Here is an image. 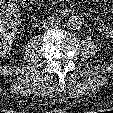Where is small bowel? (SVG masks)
Listing matches in <instances>:
<instances>
[{"instance_id":"1","label":"small bowel","mask_w":113,"mask_h":113,"mask_svg":"<svg viewBox=\"0 0 113 113\" xmlns=\"http://www.w3.org/2000/svg\"><path fill=\"white\" fill-rule=\"evenodd\" d=\"M17 19H19L20 14L16 15ZM93 23L97 30L102 33L103 35L107 37L113 38V25L106 24L102 19L100 18H94Z\"/></svg>"}]
</instances>
